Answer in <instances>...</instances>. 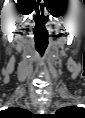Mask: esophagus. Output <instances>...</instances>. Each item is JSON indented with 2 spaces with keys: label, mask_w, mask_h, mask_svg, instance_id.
<instances>
[{
  "label": "esophagus",
  "mask_w": 85,
  "mask_h": 118,
  "mask_svg": "<svg viewBox=\"0 0 85 118\" xmlns=\"http://www.w3.org/2000/svg\"><path fill=\"white\" fill-rule=\"evenodd\" d=\"M41 109H45V105L44 104H41Z\"/></svg>",
  "instance_id": "1"
}]
</instances>
